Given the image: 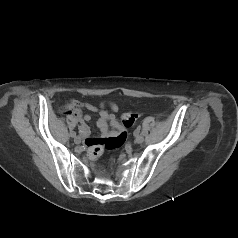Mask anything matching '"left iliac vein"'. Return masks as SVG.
Segmentation results:
<instances>
[{"label": "left iliac vein", "mask_w": 238, "mask_h": 238, "mask_svg": "<svg viewBox=\"0 0 238 238\" xmlns=\"http://www.w3.org/2000/svg\"><path fill=\"white\" fill-rule=\"evenodd\" d=\"M143 141H144V137H143L141 134H139V135L136 136V138H135V142H136V143L140 144V143H142Z\"/></svg>", "instance_id": "left-iliac-vein-1"}]
</instances>
